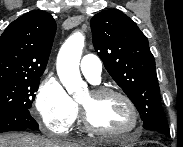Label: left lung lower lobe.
<instances>
[{
	"label": "left lung lower lobe",
	"mask_w": 183,
	"mask_h": 147,
	"mask_svg": "<svg viewBox=\"0 0 183 147\" xmlns=\"http://www.w3.org/2000/svg\"><path fill=\"white\" fill-rule=\"evenodd\" d=\"M154 133L158 134V135H161V136L170 137V134L166 135V134H163V133H160V132H154Z\"/></svg>",
	"instance_id": "obj_1"
}]
</instances>
